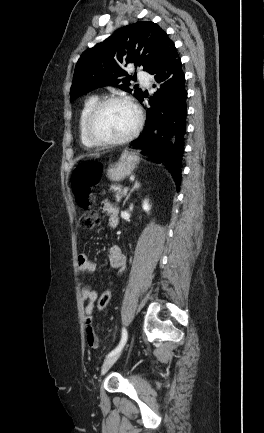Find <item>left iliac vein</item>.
<instances>
[{
	"mask_svg": "<svg viewBox=\"0 0 264 433\" xmlns=\"http://www.w3.org/2000/svg\"><path fill=\"white\" fill-rule=\"evenodd\" d=\"M122 352V349L120 351H118L117 353L107 357V359L103 362L102 367H101V375H104L110 368L111 366L117 361V359L119 358L120 354Z\"/></svg>",
	"mask_w": 264,
	"mask_h": 433,
	"instance_id": "4c4485c4",
	"label": "left iliac vein"
}]
</instances>
